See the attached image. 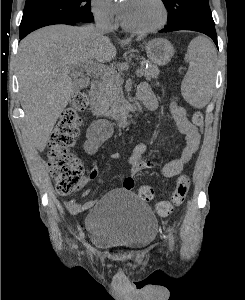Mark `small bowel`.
<instances>
[{
	"instance_id": "1",
	"label": "small bowel",
	"mask_w": 245,
	"mask_h": 300,
	"mask_svg": "<svg viewBox=\"0 0 245 300\" xmlns=\"http://www.w3.org/2000/svg\"><path fill=\"white\" fill-rule=\"evenodd\" d=\"M138 92L145 96V105L154 110L157 107V100L154 94L146 85H141ZM170 110L177 128L185 137V147L178 158L172 159L162 165L159 169L160 174L165 178L178 176L184 169V166L191 160L192 156L199 148L201 134L199 128L189 121L184 108L179 106L174 100L170 104ZM113 134L111 123L105 119H97L91 123L86 131V139L83 145L84 151L88 155H93L103 142L109 139ZM147 151V145L143 142L134 146L132 153L126 158L130 165L129 175L123 181V189L132 190L134 187L135 177L144 170L156 167V163L144 159ZM112 159H123L121 153L110 154ZM98 175V167L95 164L86 177V183L94 180ZM93 202L79 203L76 200L66 202L67 210L72 214H79L92 206Z\"/></svg>"
}]
</instances>
